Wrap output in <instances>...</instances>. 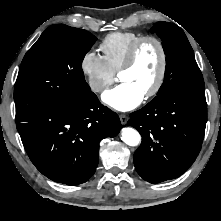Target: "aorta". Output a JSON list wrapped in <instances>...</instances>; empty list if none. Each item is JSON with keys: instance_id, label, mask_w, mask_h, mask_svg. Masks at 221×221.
<instances>
[{"instance_id": "762f6f07", "label": "aorta", "mask_w": 221, "mask_h": 221, "mask_svg": "<svg viewBox=\"0 0 221 221\" xmlns=\"http://www.w3.org/2000/svg\"><path fill=\"white\" fill-rule=\"evenodd\" d=\"M121 139L129 146H137L140 143L141 137L137 130L127 127L122 129Z\"/></svg>"}]
</instances>
